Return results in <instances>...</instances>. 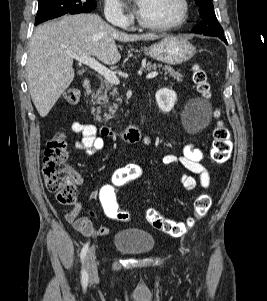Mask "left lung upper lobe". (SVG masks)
I'll list each match as a JSON object with an SVG mask.
<instances>
[{
    "label": "left lung upper lobe",
    "mask_w": 267,
    "mask_h": 301,
    "mask_svg": "<svg viewBox=\"0 0 267 301\" xmlns=\"http://www.w3.org/2000/svg\"><path fill=\"white\" fill-rule=\"evenodd\" d=\"M199 7L200 22L192 32L208 36L224 35L223 28L219 24L213 10L212 0H195Z\"/></svg>",
    "instance_id": "1"
}]
</instances>
